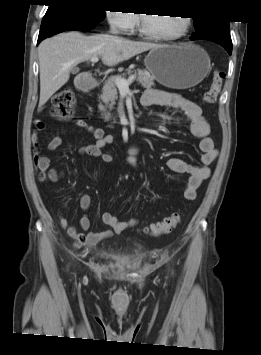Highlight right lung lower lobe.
Returning <instances> with one entry per match:
<instances>
[{
  "label": "right lung lower lobe",
  "instance_id": "98d812e1",
  "mask_svg": "<svg viewBox=\"0 0 261 355\" xmlns=\"http://www.w3.org/2000/svg\"><path fill=\"white\" fill-rule=\"evenodd\" d=\"M98 23L74 10L57 7L48 9L41 23L37 44L51 35L67 30H91Z\"/></svg>",
  "mask_w": 261,
  "mask_h": 355
}]
</instances>
